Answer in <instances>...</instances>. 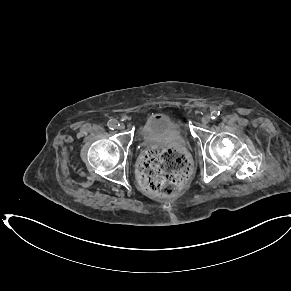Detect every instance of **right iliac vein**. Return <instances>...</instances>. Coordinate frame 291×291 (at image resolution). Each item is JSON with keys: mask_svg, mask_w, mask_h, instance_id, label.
I'll list each match as a JSON object with an SVG mask.
<instances>
[{"mask_svg": "<svg viewBox=\"0 0 291 291\" xmlns=\"http://www.w3.org/2000/svg\"><path fill=\"white\" fill-rule=\"evenodd\" d=\"M117 128L123 130L125 128V125L123 123H120Z\"/></svg>", "mask_w": 291, "mask_h": 291, "instance_id": "obj_1", "label": "right iliac vein"}]
</instances>
